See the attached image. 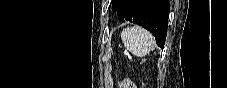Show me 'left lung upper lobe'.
I'll use <instances>...</instances> for the list:
<instances>
[{"label":"left lung upper lobe","mask_w":227,"mask_h":88,"mask_svg":"<svg viewBox=\"0 0 227 88\" xmlns=\"http://www.w3.org/2000/svg\"><path fill=\"white\" fill-rule=\"evenodd\" d=\"M118 1H119V0H113V1H112V10H113V11H116V10H117Z\"/></svg>","instance_id":"5c2ea615"}]
</instances>
